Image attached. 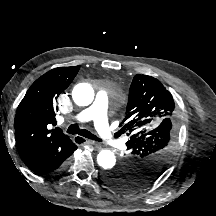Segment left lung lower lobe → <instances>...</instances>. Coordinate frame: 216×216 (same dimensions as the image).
I'll list each match as a JSON object with an SVG mask.
<instances>
[{"instance_id":"1","label":"left lung lower lobe","mask_w":216,"mask_h":216,"mask_svg":"<svg viewBox=\"0 0 216 216\" xmlns=\"http://www.w3.org/2000/svg\"><path fill=\"white\" fill-rule=\"evenodd\" d=\"M106 174L104 175V180H105Z\"/></svg>"}]
</instances>
